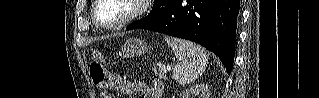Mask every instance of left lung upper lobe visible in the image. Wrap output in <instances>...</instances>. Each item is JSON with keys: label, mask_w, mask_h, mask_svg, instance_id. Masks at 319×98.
Masks as SVG:
<instances>
[{"label": "left lung upper lobe", "mask_w": 319, "mask_h": 98, "mask_svg": "<svg viewBox=\"0 0 319 98\" xmlns=\"http://www.w3.org/2000/svg\"><path fill=\"white\" fill-rule=\"evenodd\" d=\"M164 1L165 0H154L153 9L150 12V14L141 20L133 22L132 25L145 26V25L151 24L152 22L160 18L163 14Z\"/></svg>", "instance_id": "left-lung-upper-lobe-1"}]
</instances>
